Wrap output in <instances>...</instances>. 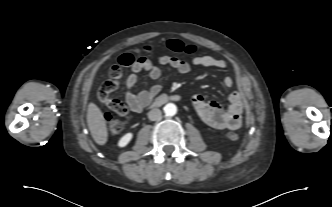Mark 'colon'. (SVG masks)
<instances>
[{
  "mask_svg": "<svg viewBox=\"0 0 332 207\" xmlns=\"http://www.w3.org/2000/svg\"><path fill=\"white\" fill-rule=\"evenodd\" d=\"M166 45L167 48L174 53L192 55L196 52L195 46L185 45L177 39L167 40ZM145 50H148V48H145ZM136 60L137 58L134 54H122L118 58V61L111 66L108 78L104 80L98 88L97 97L99 101L117 114H123L125 106L121 101L112 97V93L118 88L119 81L123 74L122 68L132 67ZM106 120L110 132L114 134L120 133L126 124L125 121L114 119L109 114L106 115ZM226 136L231 141H237L239 139V135L236 132H228Z\"/></svg>",
  "mask_w": 332,
  "mask_h": 207,
  "instance_id": "1",
  "label": "colon"
}]
</instances>
